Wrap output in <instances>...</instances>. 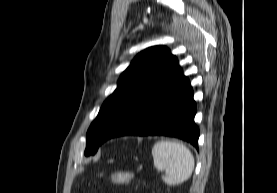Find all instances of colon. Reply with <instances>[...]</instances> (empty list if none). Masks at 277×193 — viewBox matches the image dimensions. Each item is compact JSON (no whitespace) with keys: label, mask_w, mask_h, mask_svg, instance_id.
<instances>
[{"label":"colon","mask_w":277,"mask_h":193,"mask_svg":"<svg viewBox=\"0 0 277 193\" xmlns=\"http://www.w3.org/2000/svg\"><path fill=\"white\" fill-rule=\"evenodd\" d=\"M135 180V174L130 171H114L109 175V181L117 185H130Z\"/></svg>","instance_id":"obj_1"}]
</instances>
